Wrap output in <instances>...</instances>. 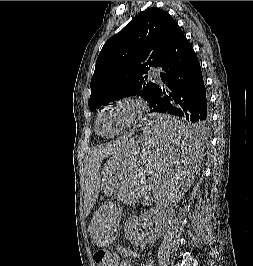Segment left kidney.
<instances>
[{"label":"left kidney","instance_id":"left-kidney-1","mask_svg":"<svg viewBox=\"0 0 253 266\" xmlns=\"http://www.w3.org/2000/svg\"><path fill=\"white\" fill-rule=\"evenodd\" d=\"M150 221V215H144L143 217H130L124 225L125 238L135 246H145L152 242L157 234L156 230L142 231L147 223Z\"/></svg>","mask_w":253,"mask_h":266}]
</instances>
